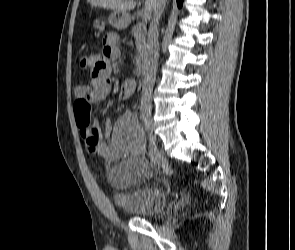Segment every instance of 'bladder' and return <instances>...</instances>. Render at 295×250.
Masks as SVG:
<instances>
[{
    "mask_svg": "<svg viewBox=\"0 0 295 250\" xmlns=\"http://www.w3.org/2000/svg\"><path fill=\"white\" fill-rule=\"evenodd\" d=\"M116 203L135 217L153 218L164 211L167 196L159 187H130V190H124L116 198Z\"/></svg>",
    "mask_w": 295,
    "mask_h": 250,
    "instance_id": "31cf9c89",
    "label": "bladder"
}]
</instances>
